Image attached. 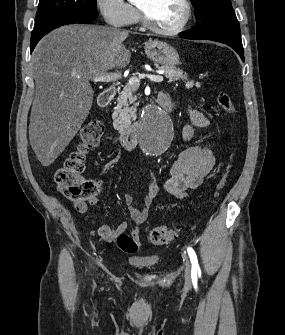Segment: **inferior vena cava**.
Listing matches in <instances>:
<instances>
[{"label": "inferior vena cava", "instance_id": "obj_1", "mask_svg": "<svg viewBox=\"0 0 285 335\" xmlns=\"http://www.w3.org/2000/svg\"><path fill=\"white\" fill-rule=\"evenodd\" d=\"M122 34H127V32H122Z\"/></svg>", "mask_w": 285, "mask_h": 335}]
</instances>
